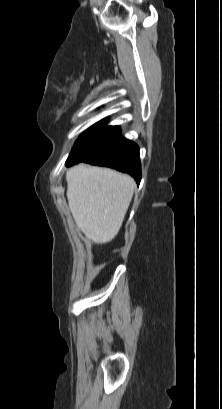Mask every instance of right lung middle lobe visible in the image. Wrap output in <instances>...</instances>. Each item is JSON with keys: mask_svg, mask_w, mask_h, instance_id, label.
<instances>
[{"mask_svg": "<svg viewBox=\"0 0 222 409\" xmlns=\"http://www.w3.org/2000/svg\"><path fill=\"white\" fill-rule=\"evenodd\" d=\"M107 119L84 132L76 141L66 163H78L98 152L107 141L113 127H105Z\"/></svg>", "mask_w": 222, "mask_h": 409, "instance_id": "dd1d6c3e", "label": "right lung middle lobe"}]
</instances>
